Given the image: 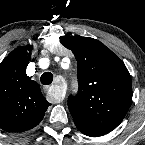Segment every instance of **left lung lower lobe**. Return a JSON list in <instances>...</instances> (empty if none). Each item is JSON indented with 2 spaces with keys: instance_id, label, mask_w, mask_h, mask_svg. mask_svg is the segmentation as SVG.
Instances as JSON below:
<instances>
[{
  "instance_id": "obj_1",
  "label": "left lung lower lobe",
  "mask_w": 145,
  "mask_h": 145,
  "mask_svg": "<svg viewBox=\"0 0 145 145\" xmlns=\"http://www.w3.org/2000/svg\"><path fill=\"white\" fill-rule=\"evenodd\" d=\"M82 133H84L85 135H88V136H92V137L102 136L97 133H91V132H86V131H83Z\"/></svg>"
}]
</instances>
